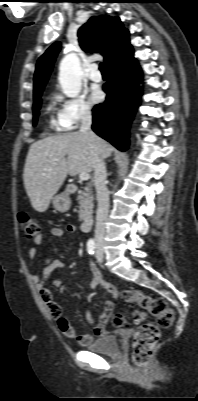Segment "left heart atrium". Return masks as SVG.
Returning <instances> with one entry per match:
<instances>
[{
  "mask_svg": "<svg viewBox=\"0 0 198 401\" xmlns=\"http://www.w3.org/2000/svg\"><path fill=\"white\" fill-rule=\"evenodd\" d=\"M103 98V92L99 88H94L90 94V100L93 103H98Z\"/></svg>",
  "mask_w": 198,
  "mask_h": 401,
  "instance_id": "1",
  "label": "left heart atrium"
}]
</instances>
